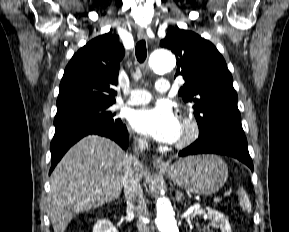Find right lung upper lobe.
I'll return each mask as SVG.
<instances>
[{
	"instance_id": "obj_1",
	"label": "right lung upper lobe",
	"mask_w": 289,
	"mask_h": 232,
	"mask_svg": "<svg viewBox=\"0 0 289 232\" xmlns=\"http://www.w3.org/2000/svg\"><path fill=\"white\" fill-rule=\"evenodd\" d=\"M125 51L111 32L88 42L72 57L64 71L57 108L80 103H115L120 61Z\"/></svg>"
}]
</instances>
